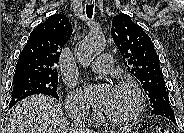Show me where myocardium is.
<instances>
[{"mask_svg": "<svg viewBox=\"0 0 184 133\" xmlns=\"http://www.w3.org/2000/svg\"><path fill=\"white\" fill-rule=\"evenodd\" d=\"M115 88L128 89L134 94L136 99L135 110L124 118H112L110 116L104 115V119L116 126H126L136 122L145 110V98L141 88L134 81L120 82L115 86Z\"/></svg>", "mask_w": 184, "mask_h": 133, "instance_id": "1", "label": "myocardium"}]
</instances>
